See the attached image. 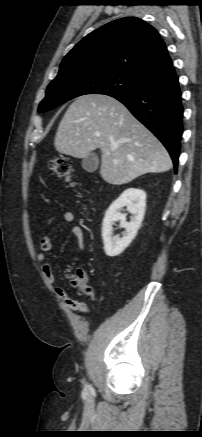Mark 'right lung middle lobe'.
Segmentation results:
<instances>
[{"label": "right lung middle lobe", "mask_w": 202, "mask_h": 437, "mask_svg": "<svg viewBox=\"0 0 202 437\" xmlns=\"http://www.w3.org/2000/svg\"><path fill=\"white\" fill-rule=\"evenodd\" d=\"M144 80L118 72H90L72 70L57 76L47 87L46 97L38 112L51 110L75 97L86 94H114L133 92Z\"/></svg>", "instance_id": "dd1d6c3e"}]
</instances>
